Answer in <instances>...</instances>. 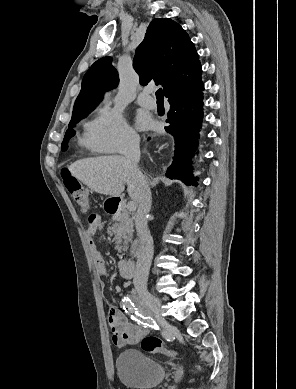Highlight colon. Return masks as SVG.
<instances>
[{
  "instance_id": "obj_1",
  "label": "colon",
  "mask_w": 296,
  "mask_h": 389,
  "mask_svg": "<svg viewBox=\"0 0 296 389\" xmlns=\"http://www.w3.org/2000/svg\"><path fill=\"white\" fill-rule=\"evenodd\" d=\"M64 185L75 203L83 212H87L92 206V198L89 189L80 181L71 176L67 170L62 171ZM141 348L147 353H163L169 356L177 355V352L165 346L160 339L154 336H145L141 340Z\"/></svg>"
}]
</instances>
